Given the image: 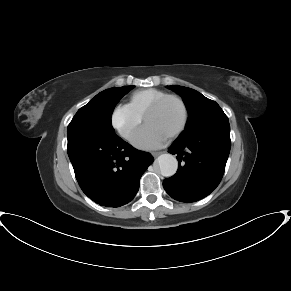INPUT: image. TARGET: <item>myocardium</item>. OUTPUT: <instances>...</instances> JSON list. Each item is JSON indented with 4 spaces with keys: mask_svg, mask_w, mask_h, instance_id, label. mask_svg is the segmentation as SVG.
I'll list each match as a JSON object with an SVG mask.
<instances>
[{
    "mask_svg": "<svg viewBox=\"0 0 291 291\" xmlns=\"http://www.w3.org/2000/svg\"><path fill=\"white\" fill-rule=\"evenodd\" d=\"M169 100H175L179 103L182 109V121L180 125L168 136L169 138H175L179 136L184 130L186 129L188 122H189V110L187 107L186 102L177 95L174 94H168L165 95L156 101H154L145 111L143 115V121L146 122L147 118L154 112H156L159 108H161L167 101Z\"/></svg>",
    "mask_w": 291,
    "mask_h": 291,
    "instance_id": "1",
    "label": "myocardium"
}]
</instances>
